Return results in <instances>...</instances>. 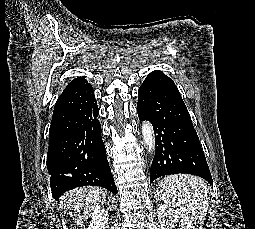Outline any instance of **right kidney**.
Returning <instances> with one entry per match:
<instances>
[{
  "instance_id": "right-kidney-1",
  "label": "right kidney",
  "mask_w": 255,
  "mask_h": 229,
  "mask_svg": "<svg viewBox=\"0 0 255 229\" xmlns=\"http://www.w3.org/2000/svg\"><path fill=\"white\" fill-rule=\"evenodd\" d=\"M108 211L105 209H98L89 215L91 219L90 225L87 229H105V224L108 223Z\"/></svg>"
}]
</instances>
